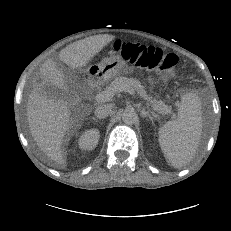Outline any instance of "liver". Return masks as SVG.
Here are the masks:
<instances>
[{
  "label": "liver",
  "instance_id": "liver-1",
  "mask_svg": "<svg viewBox=\"0 0 231 231\" xmlns=\"http://www.w3.org/2000/svg\"><path fill=\"white\" fill-rule=\"evenodd\" d=\"M115 36L102 34L87 37L69 44L59 53V59L72 69L88 72L87 64ZM42 84L33 88L27 102V120L32 137L41 151L58 165L65 166L62 149L65 135L73 127L74 120L68 104L62 100L47 96L45 86L53 84L67 90L71 78L59 69L58 64L46 60L40 69Z\"/></svg>",
  "mask_w": 231,
  "mask_h": 231
}]
</instances>
